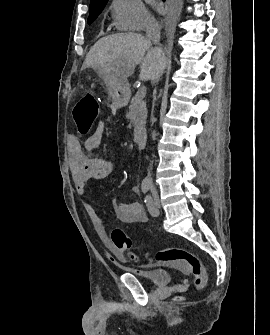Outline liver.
<instances>
[{
    "instance_id": "obj_1",
    "label": "liver",
    "mask_w": 270,
    "mask_h": 335,
    "mask_svg": "<svg viewBox=\"0 0 270 335\" xmlns=\"http://www.w3.org/2000/svg\"><path fill=\"white\" fill-rule=\"evenodd\" d=\"M141 66L143 80H156L166 68V58L162 48H152V42L134 32L112 34L100 38L88 52L83 68H94L104 76L116 78L128 84V76Z\"/></svg>"
}]
</instances>
